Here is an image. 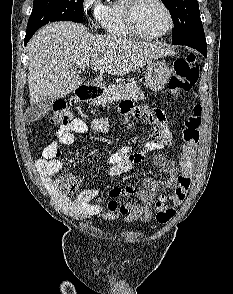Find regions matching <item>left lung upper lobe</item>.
<instances>
[{
	"label": "left lung upper lobe",
	"instance_id": "1",
	"mask_svg": "<svg viewBox=\"0 0 233 294\" xmlns=\"http://www.w3.org/2000/svg\"><path fill=\"white\" fill-rule=\"evenodd\" d=\"M168 8L173 22L172 43L206 42L197 0H161Z\"/></svg>",
	"mask_w": 233,
	"mask_h": 294
}]
</instances>
